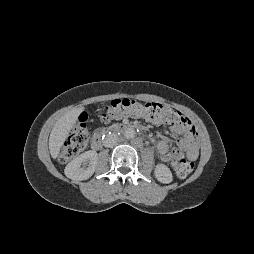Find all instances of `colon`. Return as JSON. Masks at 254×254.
<instances>
[{"label":"colon","instance_id":"1","mask_svg":"<svg viewBox=\"0 0 254 254\" xmlns=\"http://www.w3.org/2000/svg\"><path fill=\"white\" fill-rule=\"evenodd\" d=\"M124 116L143 118L149 121L171 125H186L190 122L187 117L167 105L158 102L139 103L130 99L111 101L104 109L102 119L109 121ZM90 136L91 130L86 118L80 116L78 123L72 128L64 142L59 157L60 161L65 163L84 151ZM172 168L174 173L183 179L192 172L194 164L185 159L176 160L173 162Z\"/></svg>","mask_w":254,"mask_h":254}]
</instances>
